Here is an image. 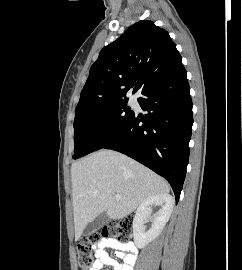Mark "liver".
I'll use <instances>...</instances> for the list:
<instances>
[{
	"mask_svg": "<svg viewBox=\"0 0 242 270\" xmlns=\"http://www.w3.org/2000/svg\"><path fill=\"white\" fill-rule=\"evenodd\" d=\"M71 179L76 241L98 215L105 212L110 219H122L146 198L170 190L163 178L113 150H99L74 162Z\"/></svg>",
	"mask_w": 242,
	"mask_h": 270,
	"instance_id": "6515ba94",
	"label": "liver"
}]
</instances>
